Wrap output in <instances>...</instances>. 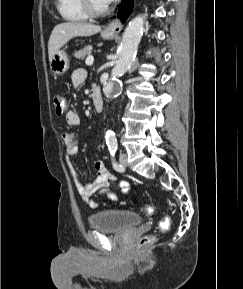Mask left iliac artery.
I'll use <instances>...</instances> for the list:
<instances>
[{
	"instance_id": "1",
	"label": "left iliac artery",
	"mask_w": 243,
	"mask_h": 289,
	"mask_svg": "<svg viewBox=\"0 0 243 289\" xmlns=\"http://www.w3.org/2000/svg\"><path fill=\"white\" fill-rule=\"evenodd\" d=\"M111 156H112V165L114 169H116L117 171H123L124 168L122 167V165L118 164L114 159L115 151H111Z\"/></svg>"
}]
</instances>
